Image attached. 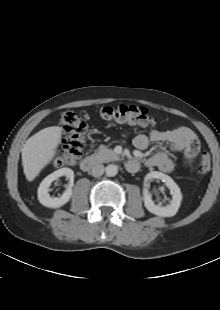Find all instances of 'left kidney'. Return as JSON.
I'll return each mask as SVG.
<instances>
[{"instance_id":"left-kidney-1","label":"left kidney","mask_w":220,"mask_h":310,"mask_svg":"<svg viewBox=\"0 0 220 310\" xmlns=\"http://www.w3.org/2000/svg\"><path fill=\"white\" fill-rule=\"evenodd\" d=\"M150 179H159L165 183V185L170 189V193L172 195V200L170 204L167 206L155 205L151 199V194L149 193L146 185V181ZM143 200L146 209L160 217H172L174 216L180 207L182 201V194L178 185L174 182V180L166 174H163L158 171L150 172L145 177V188L143 190Z\"/></svg>"}]
</instances>
